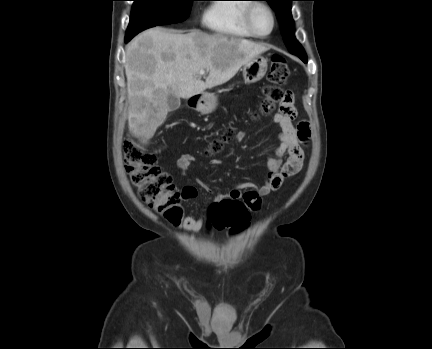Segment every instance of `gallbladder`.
<instances>
[{
  "label": "gallbladder",
  "instance_id": "bac80fb5",
  "mask_svg": "<svg viewBox=\"0 0 432 349\" xmlns=\"http://www.w3.org/2000/svg\"><path fill=\"white\" fill-rule=\"evenodd\" d=\"M169 111H175L180 107V98L170 94L167 98Z\"/></svg>",
  "mask_w": 432,
  "mask_h": 349
}]
</instances>
